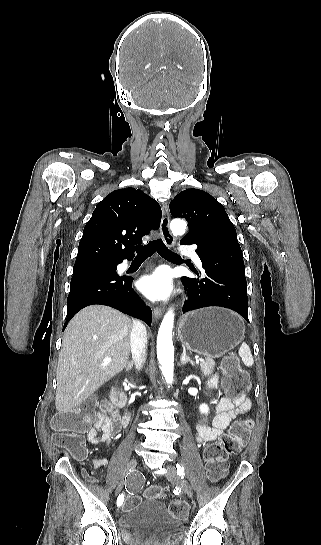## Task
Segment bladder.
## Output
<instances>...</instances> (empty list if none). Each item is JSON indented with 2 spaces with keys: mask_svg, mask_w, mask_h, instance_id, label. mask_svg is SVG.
<instances>
[{
  "mask_svg": "<svg viewBox=\"0 0 321 545\" xmlns=\"http://www.w3.org/2000/svg\"><path fill=\"white\" fill-rule=\"evenodd\" d=\"M118 527L127 545H177L184 534L183 523L168 512L161 500L154 498L122 510Z\"/></svg>",
  "mask_w": 321,
  "mask_h": 545,
  "instance_id": "obj_1",
  "label": "bladder"
}]
</instances>
